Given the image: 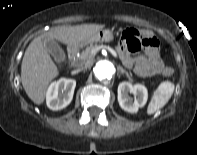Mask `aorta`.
I'll return each mask as SVG.
<instances>
[{
	"mask_svg": "<svg viewBox=\"0 0 197 155\" xmlns=\"http://www.w3.org/2000/svg\"><path fill=\"white\" fill-rule=\"evenodd\" d=\"M116 73L115 65L109 60H99L95 63L94 74L100 81L110 80Z\"/></svg>",
	"mask_w": 197,
	"mask_h": 155,
	"instance_id": "obj_1",
	"label": "aorta"
}]
</instances>
